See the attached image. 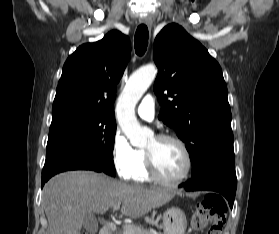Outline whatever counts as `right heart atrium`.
I'll list each match as a JSON object with an SVG mask.
<instances>
[{
	"label": "right heart atrium",
	"mask_w": 279,
	"mask_h": 234,
	"mask_svg": "<svg viewBox=\"0 0 279 234\" xmlns=\"http://www.w3.org/2000/svg\"><path fill=\"white\" fill-rule=\"evenodd\" d=\"M111 158L117 174L121 178L128 179L135 162L136 149L120 129H117L112 137Z\"/></svg>",
	"instance_id": "d8ad5b80"
}]
</instances>
